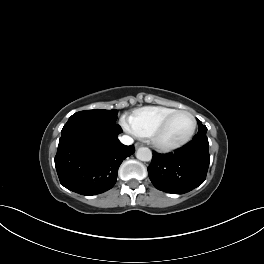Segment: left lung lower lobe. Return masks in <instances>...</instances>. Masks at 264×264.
Instances as JSON below:
<instances>
[{"label": "left lung lower lobe", "instance_id": "obj_1", "mask_svg": "<svg viewBox=\"0 0 264 264\" xmlns=\"http://www.w3.org/2000/svg\"><path fill=\"white\" fill-rule=\"evenodd\" d=\"M208 147L206 134L197 133L191 142L172 153L153 152L148 174L155 188L183 194L200 186L210 163Z\"/></svg>", "mask_w": 264, "mask_h": 264}]
</instances>
